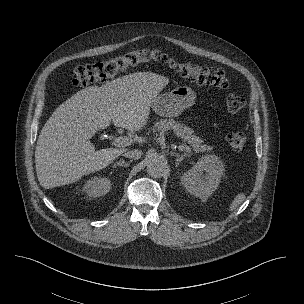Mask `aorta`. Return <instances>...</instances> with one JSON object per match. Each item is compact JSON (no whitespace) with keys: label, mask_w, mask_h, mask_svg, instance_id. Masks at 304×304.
Segmentation results:
<instances>
[{"label":"aorta","mask_w":304,"mask_h":304,"mask_svg":"<svg viewBox=\"0 0 304 304\" xmlns=\"http://www.w3.org/2000/svg\"><path fill=\"white\" fill-rule=\"evenodd\" d=\"M167 169V163L164 159L154 157L148 160L147 173L152 177H161Z\"/></svg>","instance_id":"762f6f07"}]
</instances>
